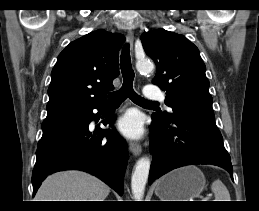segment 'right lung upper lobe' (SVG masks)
<instances>
[{"instance_id": "obj_1", "label": "right lung upper lobe", "mask_w": 259, "mask_h": 211, "mask_svg": "<svg viewBox=\"0 0 259 211\" xmlns=\"http://www.w3.org/2000/svg\"><path fill=\"white\" fill-rule=\"evenodd\" d=\"M125 37L103 29L71 42L59 55L48 88L46 119L105 105L119 75V50Z\"/></svg>"}]
</instances>
